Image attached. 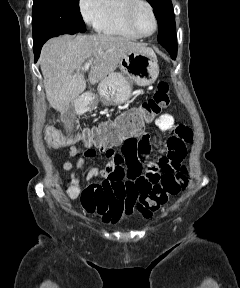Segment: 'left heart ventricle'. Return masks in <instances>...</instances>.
Here are the masks:
<instances>
[{"label": "left heart ventricle", "mask_w": 240, "mask_h": 288, "mask_svg": "<svg viewBox=\"0 0 240 288\" xmlns=\"http://www.w3.org/2000/svg\"><path fill=\"white\" fill-rule=\"evenodd\" d=\"M134 24L141 34L148 35L154 31V19L147 6L141 5L138 7L134 16Z\"/></svg>", "instance_id": "1"}]
</instances>
